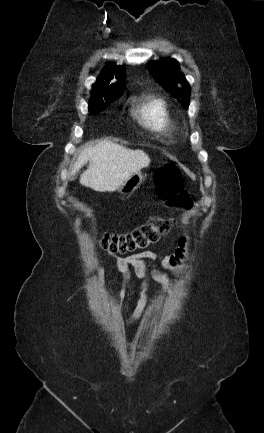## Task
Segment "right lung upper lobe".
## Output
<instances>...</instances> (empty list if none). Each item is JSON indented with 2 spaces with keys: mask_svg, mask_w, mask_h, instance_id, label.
<instances>
[{
  "mask_svg": "<svg viewBox=\"0 0 264 433\" xmlns=\"http://www.w3.org/2000/svg\"><path fill=\"white\" fill-rule=\"evenodd\" d=\"M126 72L123 66H117L113 63L106 65L99 77L95 87L91 92L90 100H110L119 98L125 89ZM112 79H117L115 83H110Z\"/></svg>",
  "mask_w": 264,
  "mask_h": 433,
  "instance_id": "obj_1",
  "label": "right lung upper lobe"
}]
</instances>
